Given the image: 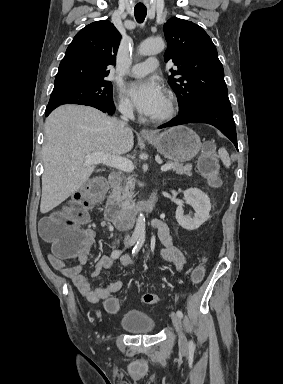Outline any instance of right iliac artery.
I'll return each instance as SVG.
<instances>
[{
	"instance_id": "82829eb1",
	"label": "right iliac artery",
	"mask_w": 283,
	"mask_h": 384,
	"mask_svg": "<svg viewBox=\"0 0 283 384\" xmlns=\"http://www.w3.org/2000/svg\"><path fill=\"white\" fill-rule=\"evenodd\" d=\"M137 239H138V236L133 235L132 238H131V240H130V245H131V246L134 245V244L136 243ZM121 253H122L121 250H114V251L111 253V257H112L113 259H117V258H119V256L121 255Z\"/></svg>"
}]
</instances>
